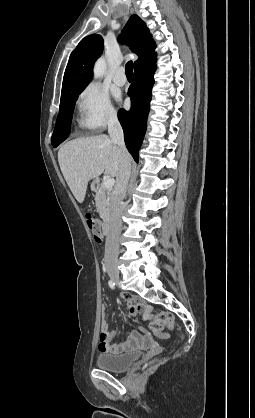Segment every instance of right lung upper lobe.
I'll list each match as a JSON object with an SVG mask.
<instances>
[{
  "label": "right lung upper lobe",
  "instance_id": "cb5924a9",
  "mask_svg": "<svg viewBox=\"0 0 255 418\" xmlns=\"http://www.w3.org/2000/svg\"><path fill=\"white\" fill-rule=\"evenodd\" d=\"M145 23L132 15L124 27L119 42L127 43L138 56L135 70L143 68L156 60L155 42ZM103 51V38L92 34L83 38L71 53L65 70L62 93L84 89L92 79L93 66Z\"/></svg>",
  "mask_w": 255,
  "mask_h": 418
}]
</instances>
